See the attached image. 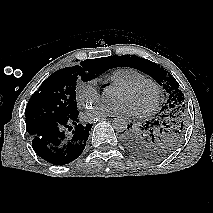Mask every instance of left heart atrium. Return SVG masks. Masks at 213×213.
Wrapping results in <instances>:
<instances>
[{
	"label": "left heart atrium",
	"mask_w": 213,
	"mask_h": 213,
	"mask_svg": "<svg viewBox=\"0 0 213 213\" xmlns=\"http://www.w3.org/2000/svg\"><path fill=\"white\" fill-rule=\"evenodd\" d=\"M134 112L132 108L123 101L114 104H97L88 109L84 114L86 120H96L108 116H129Z\"/></svg>",
	"instance_id": "left-heart-atrium-1"
}]
</instances>
